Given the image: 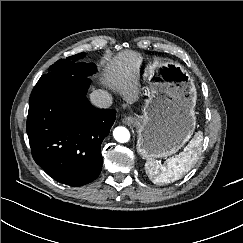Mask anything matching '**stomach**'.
Masks as SVG:
<instances>
[{"instance_id":"0dacf381","label":"stomach","mask_w":243,"mask_h":243,"mask_svg":"<svg viewBox=\"0 0 243 243\" xmlns=\"http://www.w3.org/2000/svg\"><path fill=\"white\" fill-rule=\"evenodd\" d=\"M150 63L148 99L143 115L134 122L137 151L146 159L176 153L192 136L196 126V87L178 63L144 58Z\"/></svg>"}]
</instances>
